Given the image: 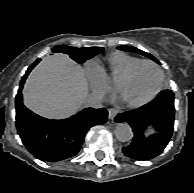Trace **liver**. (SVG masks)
Masks as SVG:
<instances>
[{
	"label": "liver",
	"mask_w": 194,
	"mask_h": 193,
	"mask_svg": "<svg viewBox=\"0 0 194 193\" xmlns=\"http://www.w3.org/2000/svg\"><path fill=\"white\" fill-rule=\"evenodd\" d=\"M88 97V83L81 66L63 54L42 60L30 73L23 89L24 105L50 119L77 113Z\"/></svg>",
	"instance_id": "1"
}]
</instances>
